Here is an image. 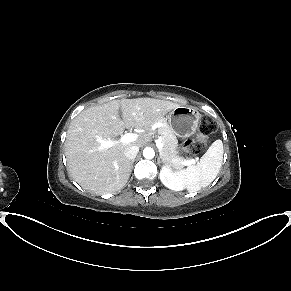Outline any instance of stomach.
I'll list each match as a JSON object with an SVG mask.
<instances>
[{"label":"stomach","mask_w":291,"mask_h":291,"mask_svg":"<svg viewBox=\"0 0 291 291\" xmlns=\"http://www.w3.org/2000/svg\"><path fill=\"white\" fill-rule=\"evenodd\" d=\"M201 114L192 107L179 106L169 114L170 128L179 137L193 135L199 125Z\"/></svg>","instance_id":"stomach-1"}]
</instances>
